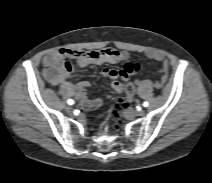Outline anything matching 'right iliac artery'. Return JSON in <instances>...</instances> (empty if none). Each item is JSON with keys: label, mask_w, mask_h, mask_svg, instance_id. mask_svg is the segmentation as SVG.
Instances as JSON below:
<instances>
[{"label": "right iliac artery", "mask_w": 212, "mask_h": 183, "mask_svg": "<svg viewBox=\"0 0 212 183\" xmlns=\"http://www.w3.org/2000/svg\"><path fill=\"white\" fill-rule=\"evenodd\" d=\"M67 103H68L69 105H72V104H74V101H73L72 99H69V100H67Z\"/></svg>", "instance_id": "right-iliac-artery-1"}]
</instances>
